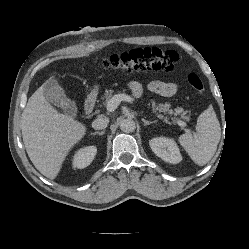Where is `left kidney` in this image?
Instances as JSON below:
<instances>
[{"instance_id": "5707ae66", "label": "left kidney", "mask_w": 249, "mask_h": 249, "mask_svg": "<svg viewBox=\"0 0 249 249\" xmlns=\"http://www.w3.org/2000/svg\"><path fill=\"white\" fill-rule=\"evenodd\" d=\"M152 151L162 160L177 164L181 162L182 156L176 142L167 137H157L149 141Z\"/></svg>"}]
</instances>
